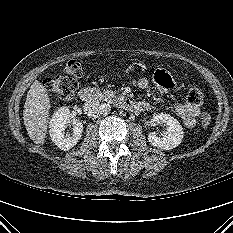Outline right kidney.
<instances>
[{
	"label": "right kidney",
	"mask_w": 233,
	"mask_h": 233,
	"mask_svg": "<svg viewBox=\"0 0 233 233\" xmlns=\"http://www.w3.org/2000/svg\"><path fill=\"white\" fill-rule=\"evenodd\" d=\"M72 126L73 132L64 135L66 126ZM49 132L52 141L61 150L68 151L74 147L81 138L83 124L80 120L70 116V110L67 107L59 108L52 116L49 123Z\"/></svg>",
	"instance_id": "ca27d5eb"
}]
</instances>
